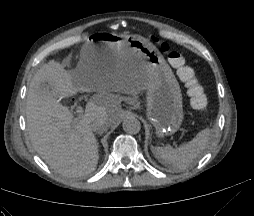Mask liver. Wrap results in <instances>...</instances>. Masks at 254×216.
<instances>
[{"label":"liver","mask_w":254,"mask_h":216,"mask_svg":"<svg viewBox=\"0 0 254 216\" xmlns=\"http://www.w3.org/2000/svg\"><path fill=\"white\" fill-rule=\"evenodd\" d=\"M88 47L81 49L74 71H67L56 60L44 64L27 94V131L34 149L52 169L69 177L88 175L97 167L98 142L91 123L105 118L109 126L115 124L122 112L120 93L136 98L148 85L147 71L140 62L94 70L88 64ZM78 91L97 93L86 104L84 115L74 118L58 98Z\"/></svg>","instance_id":"obj_1"}]
</instances>
